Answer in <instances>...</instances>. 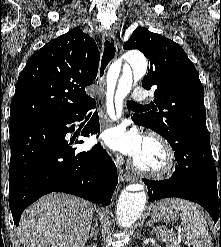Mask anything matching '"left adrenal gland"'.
Instances as JSON below:
<instances>
[{
	"mask_svg": "<svg viewBox=\"0 0 221 247\" xmlns=\"http://www.w3.org/2000/svg\"><path fill=\"white\" fill-rule=\"evenodd\" d=\"M146 225H147V226H150V227H152V228H154V227H153V222H152V221L146 222Z\"/></svg>",
	"mask_w": 221,
	"mask_h": 247,
	"instance_id": "1",
	"label": "left adrenal gland"
}]
</instances>
